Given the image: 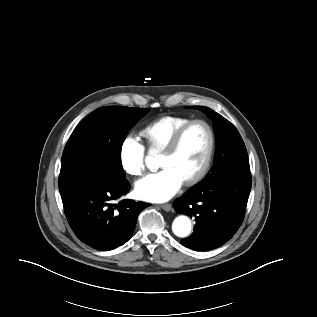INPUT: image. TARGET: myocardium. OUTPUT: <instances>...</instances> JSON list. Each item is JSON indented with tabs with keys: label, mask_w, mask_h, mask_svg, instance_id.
<instances>
[{
	"label": "myocardium",
	"mask_w": 317,
	"mask_h": 317,
	"mask_svg": "<svg viewBox=\"0 0 317 317\" xmlns=\"http://www.w3.org/2000/svg\"><path fill=\"white\" fill-rule=\"evenodd\" d=\"M196 124L203 125L206 128L209 135V145H208L206 156L199 170L193 176H191L190 178L184 181V184L187 186H191L200 182L204 178V176L207 174L210 168L212 158L214 155L215 143H216L215 134L211 125L203 119L190 120L189 122H187L185 125H183L181 128H179L175 132V134L172 136L167 146L162 151L163 155H166V156L173 155L179 148V145L185 133L188 131L189 128H191L193 125H196Z\"/></svg>",
	"instance_id": "obj_1"
}]
</instances>
